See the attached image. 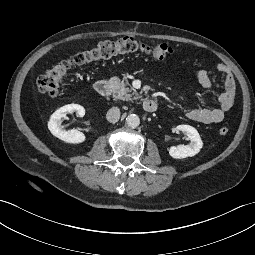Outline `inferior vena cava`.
<instances>
[{
	"instance_id": "1",
	"label": "inferior vena cava",
	"mask_w": 255,
	"mask_h": 255,
	"mask_svg": "<svg viewBox=\"0 0 255 255\" xmlns=\"http://www.w3.org/2000/svg\"><path fill=\"white\" fill-rule=\"evenodd\" d=\"M119 118H120V110L118 107L110 108L106 114V119L112 123L117 122Z\"/></svg>"
}]
</instances>
